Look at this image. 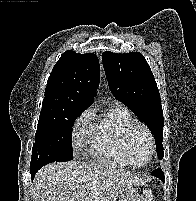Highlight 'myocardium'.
<instances>
[{
  "instance_id": "f54148a6",
  "label": "myocardium",
  "mask_w": 196,
  "mask_h": 201,
  "mask_svg": "<svg viewBox=\"0 0 196 201\" xmlns=\"http://www.w3.org/2000/svg\"><path fill=\"white\" fill-rule=\"evenodd\" d=\"M137 130H142L147 135L149 144H150L149 158L147 159V161L145 163H143L141 165L134 164V162L132 161V156H131V138H132L134 132ZM123 146H124V151H125V156H126L127 162L129 163L130 166L136 167V168H141V167H145L146 165H148L152 161L155 151H156L155 139H154V135H153L152 131L150 130V128L148 126H146L143 123H139V122L132 123L130 126L127 127V129L125 130V133H124Z\"/></svg>"
}]
</instances>
